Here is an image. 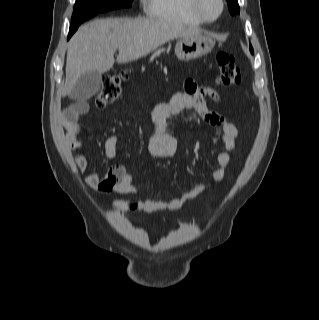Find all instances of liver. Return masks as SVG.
<instances>
[{"label": "liver", "mask_w": 319, "mask_h": 320, "mask_svg": "<svg viewBox=\"0 0 319 320\" xmlns=\"http://www.w3.org/2000/svg\"><path fill=\"white\" fill-rule=\"evenodd\" d=\"M200 34L163 19H97L82 25L71 38L67 49L66 80L62 96H66L83 74L109 71L116 61L128 63L140 59L169 40Z\"/></svg>", "instance_id": "6515ba94"}]
</instances>
